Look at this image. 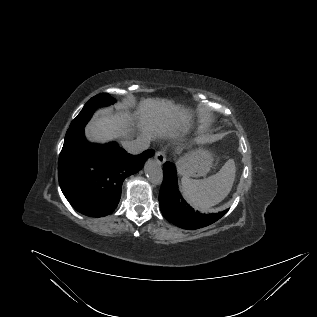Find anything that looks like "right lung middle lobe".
<instances>
[{"mask_svg":"<svg viewBox=\"0 0 317 317\" xmlns=\"http://www.w3.org/2000/svg\"><path fill=\"white\" fill-rule=\"evenodd\" d=\"M115 103V99L108 93H101L91 98L83 107L78 116L72 121L70 128L68 129L65 141L70 139L76 132L84 128L86 123L91 118L93 112L101 106H106Z\"/></svg>","mask_w":317,"mask_h":317,"instance_id":"right-lung-middle-lobe-1","label":"right lung middle lobe"}]
</instances>
